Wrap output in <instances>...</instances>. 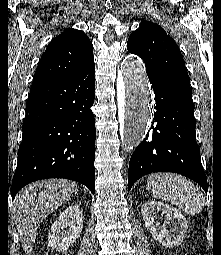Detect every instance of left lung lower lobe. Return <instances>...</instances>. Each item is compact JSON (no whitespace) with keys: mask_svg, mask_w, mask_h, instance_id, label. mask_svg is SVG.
<instances>
[{"mask_svg":"<svg viewBox=\"0 0 221 255\" xmlns=\"http://www.w3.org/2000/svg\"><path fill=\"white\" fill-rule=\"evenodd\" d=\"M155 93L152 131L131 156L128 190L142 176L173 172L196 181L207 192L200 149L195 139L196 122L192 93L155 75L148 74Z\"/></svg>","mask_w":221,"mask_h":255,"instance_id":"obj_1","label":"left lung lower lobe"}]
</instances>
